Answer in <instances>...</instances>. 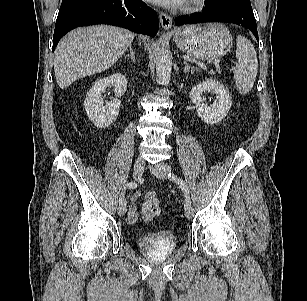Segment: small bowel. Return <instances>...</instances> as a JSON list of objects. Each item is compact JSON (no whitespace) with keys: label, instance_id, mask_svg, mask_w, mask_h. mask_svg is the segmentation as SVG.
Wrapping results in <instances>:
<instances>
[{"label":"small bowel","instance_id":"small-bowel-1","mask_svg":"<svg viewBox=\"0 0 307 301\" xmlns=\"http://www.w3.org/2000/svg\"><path fill=\"white\" fill-rule=\"evenodd\" d=\"M139 197L138 193H134L131 197L132 201H135ZM139 216L138 208L135 205H131L128 212V221L135 222Z\"/></svg>","mask_w":307,"mask_h":301}]
</instances>
